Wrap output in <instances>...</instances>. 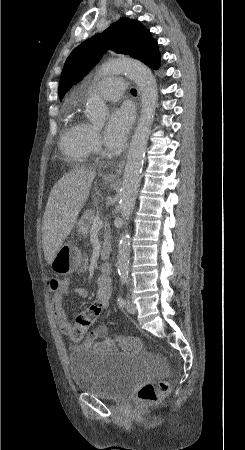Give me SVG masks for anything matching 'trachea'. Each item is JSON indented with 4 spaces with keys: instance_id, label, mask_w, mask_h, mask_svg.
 Instances as JSON below:
<instances>
[{
    "instance_id": "1",
    "label": "trachea",
    "mask_w": 245,
    "mask_h": 450,
    "mask_svg": "<svg viewBox=\"0 0 245 450\" xmlns=\"http://www.w3.org/2000/svg\"><path fill=\"white\" fill-rule=\"evenodd\" d=\"M131 93L133 94V95H136L137 94V91H136V89H131Z\"/></svg>"
}]
</instances>
